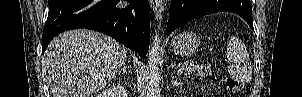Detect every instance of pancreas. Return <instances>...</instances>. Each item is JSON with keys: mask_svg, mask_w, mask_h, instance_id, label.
<instances>
[{"mask_svg": "<svg viewBox=\"0 0 302 97\" xmlns=\"http://www.w3.org/2000/svg\"><path fill=\"white\" fill-rule=\"evenodd\" d=\"M182 66L185 67L186 75L192 74L193 72L198 71L200 69V65L198 62L186 61L182 64Z\"/></svg>", "mask_w": 302, "mask_h": 97, "instance_id": "cf45deb5", "label": "pancreas"}]
</instances>
